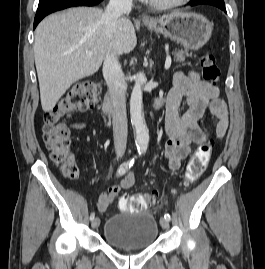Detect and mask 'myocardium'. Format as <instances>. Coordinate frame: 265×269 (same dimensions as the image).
I'll use <instances>...</instances> for the list:
<instances>
[{
  "mask_svg": "<svg viewBox=\"0 0 265 269\" xmlns=\"http://www.w3.org/2000/svg\"><path fill=\"white\" fill-rule=\"evenodd\" d=\"M147 4L158 9L176 8L185 5L190 0H144Z\"/></svg>",
  "mask_w": 265,
  "mask_h": 269,
  "instance_id": "obj_1",
  "label": "myocardium"
}]
</instances>
